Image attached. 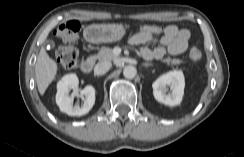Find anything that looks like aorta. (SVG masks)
Instances as JSON below:
<instances>
[{
	"label": "aorta",
	"instance_id": "1",
	"mask_svg": "<svg viewBox=\"0 0 244 157\" xmlns=\"http://www.w3.org/2000/svg\"><path fill=\"white\" fill-rule=\"evenodd\" d=\"M137 70L134 66L128 65L123 69V75L127 79H133L136 76Z\"/></svg>",
	"mask_w": 244,
	"mask_h": 157
}]
</instances>
